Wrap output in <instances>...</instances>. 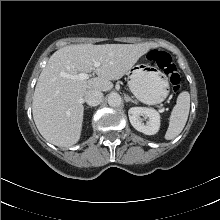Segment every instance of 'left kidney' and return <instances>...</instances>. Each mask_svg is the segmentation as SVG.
<instances>
[{"instance_id": "5707ae66", "label": "left kidney", "mask_w": 220, "mask_h": 220, "mask_svg": "<svg viewBox=\"0 0 220 220\" xmlns=\"http://www.w3.org/2000/svg\"><path fill=\"white\" fill-rule=\"evenodd\" d=\"M131 125L139 132L154 135L160 128V114L153 108L132 107L128 111ZM148 118L147 124L142 123L140 116Z\"/></svg>"}]
</instances>
